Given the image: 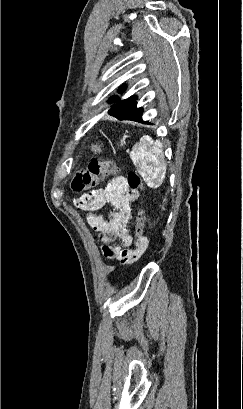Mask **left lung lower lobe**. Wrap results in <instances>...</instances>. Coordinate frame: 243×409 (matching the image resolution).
<instances>
[{"label":"left lung lower lobe","mask_w":243,"mask_h":409,"mask_svg":"<svg viewBox=\"0 0 243 409\" xmlns=\"http://www.w3.org/2000/svg\"><path fill=\"white\" fill-rule=\"evenodd\" d=\"M143 110L142 108H133V109H129L126 110L124 113H120V114H112L109 113L111 116L119 119V120H131V121H136V122H141V123H148L142 120L141 116H142Z\"/></svg>","instance_id":"0a47b994"}]
</instances>
